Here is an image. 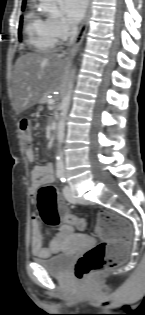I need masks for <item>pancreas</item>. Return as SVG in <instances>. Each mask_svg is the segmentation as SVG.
<instances>
[{"instance_id":"obj_1","label":"pancreas","mask_w":145,"mask_h":315,"mask_svg":"<svg viewBox=\"0 0 145 315\" xmlns=\"http://www.w3.org/2000/svg\"><path fill=\"white\" fill-rule=\"evenodd\" d=\"M40 102H41V103H48V102H49V99H48L47 97H43Z\"/></svg>"}]
</instances>
